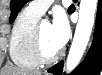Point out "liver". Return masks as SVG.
<instances>
[{"label": "liver", "mask_w": 102, "mask_h": 75, "mask_svg": "<svg viewBox=\"0 0 102 75\" xmlns=\"http://www.w3.org/2000/svg\"><path fill=\"white\" fill-rule=\"evenodd\" d=\"M1 75H41L40 72H28L17 67H7L5 70L0 72Z\"/></svg>", "instance_id": "obj_1"}]
</instances>
